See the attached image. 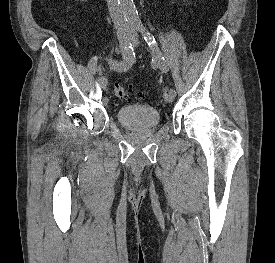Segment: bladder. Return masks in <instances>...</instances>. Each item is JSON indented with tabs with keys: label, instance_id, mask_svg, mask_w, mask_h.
<instances>
[{
	"label": "bladder",
	"instance_id": "obj_1",
	"mask_svg": "<svg viewBox=\"0 0 275 263\" xmlns=\"http://www.w3.org/2000/svg\"><path fill=\"white\" fill-rule=\"evenodd\" d=\"M117 121L129 130H147L156 127L160 122V113L149 106H124L116 112Z\"/></svg>",
	"mask_w": 275,
	"mask_h": 263
}]
</instances>
